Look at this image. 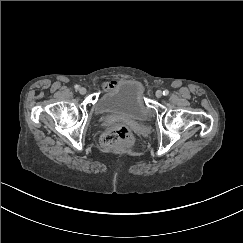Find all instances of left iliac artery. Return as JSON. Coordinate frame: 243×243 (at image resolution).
<instances>
[{
	"instance_id": "obj_1",
	"label": "left iliac artery",
	"mask_w": 243,
	"mask_h": 243,
	"mask_svg": "<svg viewBox=\"0 0 243 243\" xmlns=\"http://www.w3.org/2000/svg\"><path fill=\"white\" fill-rule=\"evenodd\" d=\"M168 93H169L168 90H164V91H163V95H164V96L168 95Z\"/></svg>"
}]
</instances>
